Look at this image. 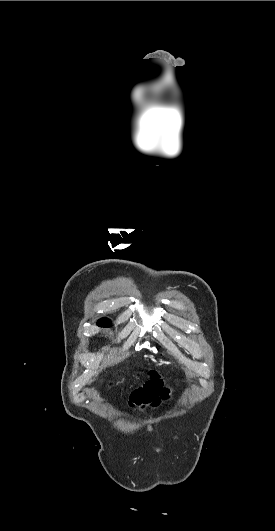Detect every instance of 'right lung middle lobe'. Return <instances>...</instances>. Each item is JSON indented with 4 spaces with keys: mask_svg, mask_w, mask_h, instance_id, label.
Returning a JSON list of instances; mask_svg holds the SVG:
<instances>
[{
    "mask_svg": "<svg viewBox=\"0 0 275 531\" xmlns=\"http://www.w3.org/2000/svg\"><path fill=\"white\" fill-rule=\"evenodd\" d=\"M98 326L100 327H110L111 321L107 318H103L97 322Z\"/></svg>",
    "mask_w": 275,
    "mask_h": 531,
    "instance_id": "obj_1",
    "label": "right lung middle lobe"
}]
</instances>
